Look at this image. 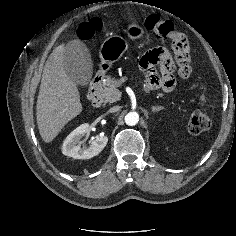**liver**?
Returning a JSON list of instances; mask_svg holds the SVG:
<instances>
[{
  "label": "liver",
  "mask_w": 236,
  "mask_h": 236,
  "mask_svg": "<svg viewBox=\"0 0 236 236\" xmlns=\"http://www.w3.org/2000/svg\"><path fill=\"white\" fill-rule=\"evenodd\" d=\"M65 47L64 44L57 46L48 57L37 98V125L46 143L83 109L78 88L64 68Z\"/></svg>",
  "instance_id": "6515ba94"
}]
</instances>
